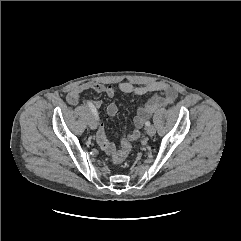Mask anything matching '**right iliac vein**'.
<instances>
[{
  "label": "right iliac vein",
  "instance_id": "right-iliac-vein-1",
  "mask_svg": "<svg viewBox=\"0 0 241 241\" xmlns=\"http://www.w3.org/2000/svg\"><path fill=\"white\" fill-rule=\"evenodd\" d=\"M89 127L92 129V130H95L97 128V119L95 116H91L90 119H89Z\"/></svg>",
  "mask_w": 241,
  "mask_h": 241
}]
</instances>
